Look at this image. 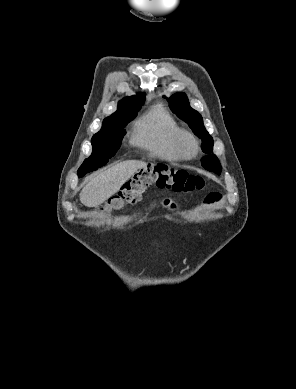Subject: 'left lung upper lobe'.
Segmentation results:
<instances>
[{
  "label": "left lung upper lobe",
  "mask_w": 296,
  "mask_h": 389,
  "mask_svg": "<svg viewBox=\"0 0 296 389\" xmlns=\"http://www.w3.org/2000/svg\"><path fill=\"white\" fill-rule=\"evenodd\" d=\"M164 98L170 103L172 112L188 123L194 134L202 139L201 148L203 152L210 154L213 151V139L203 125L202 116L190 107L187 96L184 93H177L170 98L165 96ZM202 166L216 174L221 172L220 162L214 154L204 156L202 158Z\"/></svg>",
  "instance_id": "5c2ea615"
}]
</instances>
